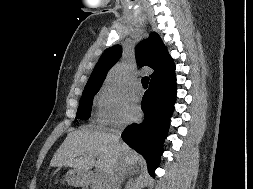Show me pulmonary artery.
Instances as JSON below:
<instances>
[{"label":"pulmonary artery","mask_w":253,"mask_h":189,"mask_svg":"<svg viewBox=\"0 0 253 189\" xmlns=\"http://www.w3.org/2000/svg\"><path fill=\"white\" fill-rule=\"evenodd\" d=\"M134 88H135L136 90H140V89H141V84H140V82H135V83H134Z\"/></svg>","instance_id":"pulmonary-artery-1"}]
</instances>
